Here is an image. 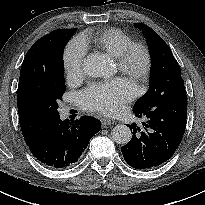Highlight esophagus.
<instances>
[{
	"instance_id": "esophagus-1",
	"label": "esophagus",
	"mask_w": 205,
	"mask_h": 205,
	"mask_svg": "<svg viewBox=\"0 0 205 205\" xmlns=\"http://www.w3.org/2000/svg\"><path fill=\"white\" fill-rule=\"evenodd\" d=\"M100 122L102 124V127H106L108 125L114 124L115 122L113 120L107 119V118H101Z\"/></svg>"
}]
</instances>
